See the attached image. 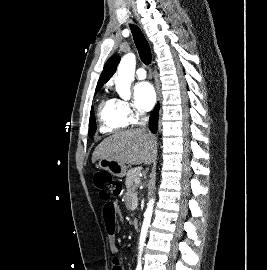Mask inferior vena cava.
<instances>
[{
    "label": "inferior vena cava",
    "mask_w": 267,
    "mask_h": 270,
    "mask_svg": "<svg viewBox=\"0 0 267 270\" xmlns=\"http://www.w3.org/2000/svg\"><path fill=\"white\" fill-rule=\"evenodd\" d=\"M146 124H147V118L144 117L141 121V127L142 129L146 130Z\"/></svg>",
    "instance_id": "inferior-vena-cava-1"
}]
</instances>
